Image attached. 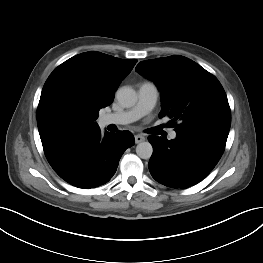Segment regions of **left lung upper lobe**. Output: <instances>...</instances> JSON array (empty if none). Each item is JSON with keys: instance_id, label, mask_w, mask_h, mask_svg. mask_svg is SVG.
Returning <instances> with one entry per match:
<instances>
[{"instance_id": "obj_1", "label": "left lung upper lobe", "mask_w": 263, "mask_h": 263, "mask_svg": "<svg viewBox=\"0 0 263 263\" xmlns=\"http://www.w3.org/2000/svg\"><path fill=\"white\" fill-rule=\"evenodd\" d=\"M135 70L156 83L162 102L159 117L169 116L175 131L229 133L231 112L225 91L200 65L174 55L141 61Z\"/></svg>"}]
</instances>
